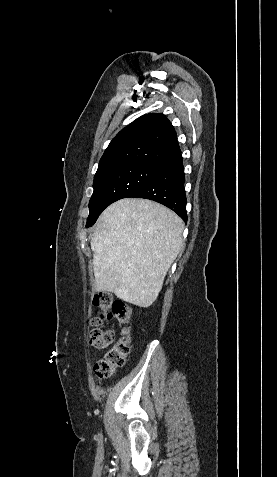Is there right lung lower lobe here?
Instances as JSON below:
<instances>
[{
    "label": "right lung lower lobe",
    "mask_w": 277,
    "mask_h": 477,
    "mask_svg": "<svg viewBox=\"0 0 277 477\" xmlns=\"http://www.w3.org/2000/svg\"><path fill=\"white\" fill-rule=\"evenodd\" d=\"M185 174L181 152L164 162L155 174L128 197L145 198L161 203L187 221Z\"/></svg>",
    "instance_id": "98d812e1"
}]
</instances>
